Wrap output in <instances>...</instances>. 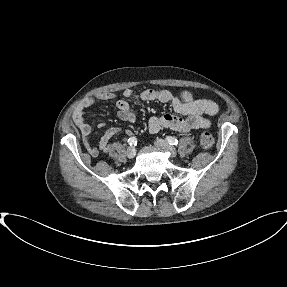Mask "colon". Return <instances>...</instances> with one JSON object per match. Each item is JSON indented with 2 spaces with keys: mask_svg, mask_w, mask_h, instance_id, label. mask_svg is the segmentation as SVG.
Listing matches in <instances>:
<instances>
[{
  "mask_svg": "<svg viewBox=\"0 0 287 287\" xmlns=\"http://www.w3.org/2000/svg\"><path fill=\"white\" fill-rule=\"evenodd\" d=\"M200 143L204 149L212 148V146L214 144V138H213L212 134L208 131L202 132L201 136H200Z\"/></svg>",
  "mask_w": 287,
  "mask_h": 287,
  "instance_id": "1",
  "label": "colon"
}]
</instances>
